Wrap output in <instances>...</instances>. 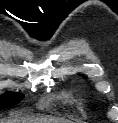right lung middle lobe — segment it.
Instances as JSON below:
<instances>
[{"label":"right lung middle lobe","instance_id":"obj_1","mask_svg":"<svg viewBox=\"0 0 118 123\" xmlns=\"http://www.w3.org/2000/svg\"><path fill=\"white\" fill-rule=\"evenodd\" d=\"M24 98L21 93H8L0 97V109L13 106Z\"/></svg>","mask_w":118,"mask_h":123}]
</instances>
